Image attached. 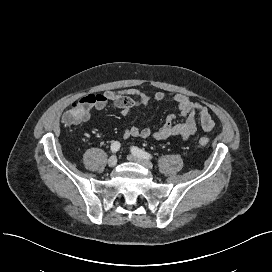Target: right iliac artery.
<instances>
[{
  "instance_id": "1",
  "label": "right iliac artery",
  "mask_w": 272,
  "mask_h": 272,
  "mask_svg": "<svg viewBox=\"0 0 272 272\" xmlns=\"http://www.w3.org/2000/svg\"><path fill=\"white\" fill-rule=\"evenodd\" d=\"M120 149V143L115 141L111 144V151L116 153Z\"/></svg>"
}]
</instances>
